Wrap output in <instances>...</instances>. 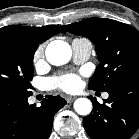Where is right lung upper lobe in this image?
Wrapping results in <instances>:
<instances>
[{"label":"right lung upper lobe","mask_w":139,"mask_h":139,"mask_svg":"<svg viewBox=\"0 0 139 139\" xmlns=\"http://www.w3.org/2000/svg\"><path fill=\"white\" fill-rule=\"evenodd\" d=\"M57 33H65V31L56 25L44 27L12 25L0 28V37H14L31 42L37 46Z\"/></svg>","instance_id":"cb5924a9"}]
</instances>
